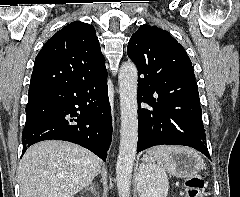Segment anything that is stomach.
Returning a JSON list of instances; mask_svg holds the SVG:
<instances>
[{
	"mask_svg": "<svg viewBox=\"0 0 240 197\" xmlns=\"http://www.w3.org/2000/svg\"><path fill=\"white\" fill-rule=\"evenodd\" d=\"M143 165L154 163L155 157L152 154H145L142 158ZM141 166V167H142ZM163 166L173 175L179 178H188L196 175L202 168L203 162L197 152L184 148V151L171 155V160L164 162ZM140 172V170H139ZM143 187V179L138 175L139 191Z\"/></svg>",
	"mask_w": 240,
	"mask_h": 197,
	"instance_id": "0dacf381",
	"label": "stomach"
}]
</instances>
